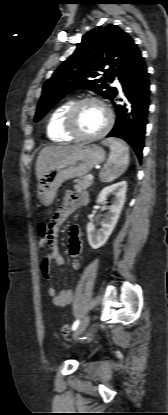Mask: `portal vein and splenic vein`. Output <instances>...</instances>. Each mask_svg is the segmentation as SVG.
<instances>
[{"label": "portal vein and splenic vein", "instance_id": "1", "mask_svg": "<svg viewBox=\"0 0 168 415\" xmlns=\"http://www.w3.org/2000/svg\"><path fill=\"white\" fill-rule=\"evenodd\" d=\"M87 178H88L89 180H92V179H93V175H91V174H90V175H88V176H87Z\"/></svg>", "mask_w": 168, "mask_h": 415}]
</instances>
